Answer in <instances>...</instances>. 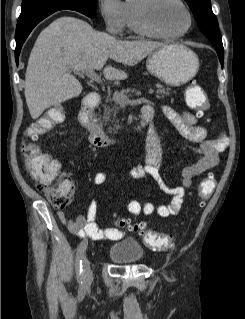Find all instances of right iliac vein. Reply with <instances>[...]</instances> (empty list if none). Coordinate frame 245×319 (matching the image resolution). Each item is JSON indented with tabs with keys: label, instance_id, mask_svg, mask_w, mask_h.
<instances>
[{
	"label": "right iliac vein",
	"instance_id": "1",
	"mask_svg": "<svg viewBox=\"0 0 245 319\" xmlns=\"http://www.w3.org/2000/svg\"><path fill=\"white\" fill-rule=\"evenodd\" d=\"M82 243L87 246L86 240L82 241ZM83 278L86 285L90 284V282L92 281V270L87 257H84L83 259Z\"/></svg>",
	"mask_w": 245,
	"mask_h": 319
}]
</instances>
